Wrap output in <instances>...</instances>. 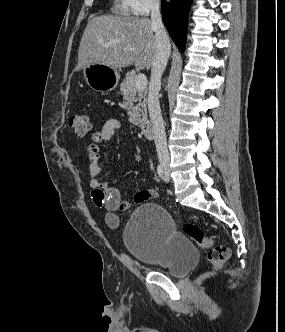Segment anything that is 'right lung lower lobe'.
<instances>
[{"label":"right lung lower lobe","mask_w":285,"mask_h":332,"mask_svg":"<svg viewBox=\"0 0 285 332\" xmlns=\"http://www.w3.org/2000/svg\"><path fill=\"white\" fill-rule=\"evenodd\" d=\"M192 0H162V18L171 38L181 52L185 49L187 15Z\"/></svg>","instance_id":"right-lung-lower-lobe-1"}]
</instances>
